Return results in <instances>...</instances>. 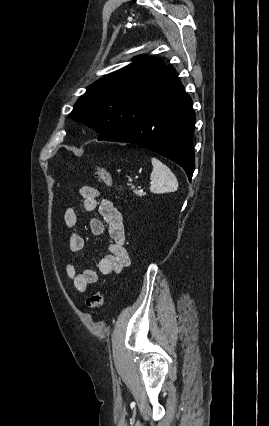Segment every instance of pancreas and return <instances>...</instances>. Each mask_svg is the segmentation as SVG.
I'll return each mask as SVG.
<instances>
[{
	"instance_id": "obj_1",
	"label": "pancreas",
	"mask_w": 269,
	"mask_h": 426,
	"mask_svg": "<svg viewBox=\"0 0 269 426\" xmlns=\"http://www.w3.org/2000/svg\"><path fill=\"white\" fill-rule=\"evenodd\" d=\"M131 188L133 189V192H134L135 195H137V196H144L145 195V193H140L137 189H134V186H132Z\"/></svg>"
}]
</instances>
